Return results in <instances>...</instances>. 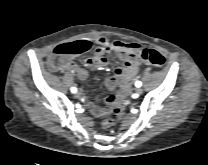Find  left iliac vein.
Listing matches in <instances>:
<instances>
[{
	"mask_svg": "<svg viewBox=\"0 0 208 165\" xmlns=\"http://www.w3.org/2000/svg\"><path fill=\"white\" fill-rule=\"evenodd\" d=\"M135 92H136L138 95H140V94H142L143 89L140 88V87H138V88H136Z\"/></svg>",
	"mask_w": 208,
	"mask_h": 165,
	"instance_id": "1",
	"label": "left iliac vein"
}]
</instances>
